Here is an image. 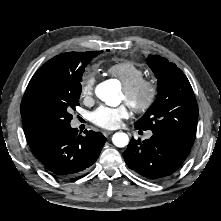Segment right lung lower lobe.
Segmentation results:
<instances>
[{"label": "right lung lower lobe", "mask_w": 221, "mask_h": 221, "mask_svg": "<svg viewBox=\"0 0 221 221\" xmlns=\"http://www.w3.org/2000/svg\"><path fill=\"white\" fill-rule=\"evenodd\" d=\"M70 125L60 127L30 147L46 172L59 179L83 174L97 160L106 142L103 134L85 130V135Z\"/></svg>", "instance_id": "right-lung-lower-lobe-1"}]
</instances>
